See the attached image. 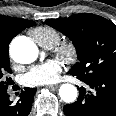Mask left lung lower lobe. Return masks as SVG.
Returning <instances> with one entry per match:
<instances>
[{"instance_id":"0a47b994","label":"left lung lower lobe","mask_w":116,"mask_h":116,"mask_svg":"<svg viewBox=\"0 0 116 116\" xmlns=\"http://www.w3.org/2000/svg\"><path fill=\"white\" fill-rule=\"evenodd\" d=\"M79 80L86 83L93 92H86L81 87L77 101L64 106L66 116H116V76Z\"/></svg>"}]
</instances>
